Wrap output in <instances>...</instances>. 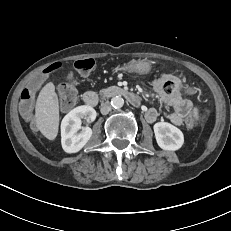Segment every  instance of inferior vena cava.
Segmentation results:
<instances>
[{
    "label": "inferior vena cava",
    "mask_w": 231,
    "mask_h": 231,
    "mask_svg": "<svg viewBox=\"0 0 231 231\" xmlns=\"http://www.w3.org/2000/svg\"><path fill=\"white\" fill-rule=\"evenodd\" d=\"M100 111L103 115L108 114L111 111V105L109 102H104L101 104Z\"/></svg>",
    "instance_id": "inferior-vena-cava-1"
}]
</instances>
